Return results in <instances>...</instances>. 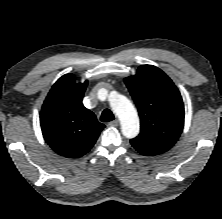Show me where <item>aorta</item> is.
<instances>
[{"label": "aorta", "instance_id": "aorta-1", "mask_svg": "<svg viewBox=\"0 0 222 219\" xmlns=\"http://www.w3.org/2000/svg\"><path fill=\"white\" fill-rule=\"evenodd\" d=\"M110 106L121 123V132L126 138H134L140 130L137 111L131 101L122 94L115 92L110 98Z\"/></svg>", "mask_w": 222, "mask_h": 219}]
</instances>
